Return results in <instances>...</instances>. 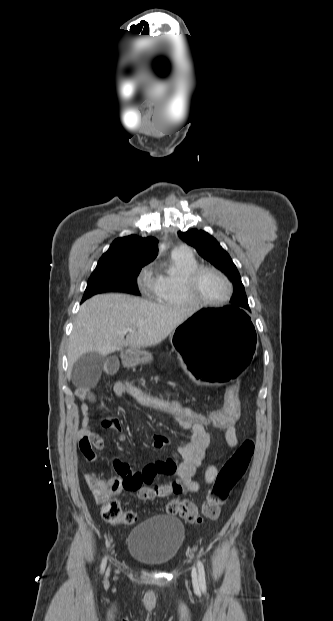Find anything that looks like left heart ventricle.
I'll return each instance as SVG.
<instances>
[{
	"label": "left heart ventricle",
	"mask_w": 333,
	"mask_h": 621,
	"mask_svg": "<svg viewBox=\"0 0 333 621\" xmlns=\"http://www.w3.org/2000/svg\"><path fill=\"white\" fill-rule=\"evenodd\" d=\"M196 291L205 300L218 301L226 296L228 288L221 277L212 272H205L197 282Z\"/></svg>",
	"instance_id": "b2bd125f"
}]
</instances>
